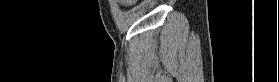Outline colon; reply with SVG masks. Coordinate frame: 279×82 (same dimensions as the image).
<instances>
[{"label": "colon", "mask_w": 279, "mask_h": 82, "mask_svg": "<svg viewBox=\"0 0 279 82\" xmlns=\"http://www.w3.org/2000/svg\"><path fill=\"white\" fill-rule=\"evenodd\" d=\"M122 2L127 4V5H132L135 2V0H124Z\"/></svg>", "instance_id": "5ec220e1"}]
</instances>
